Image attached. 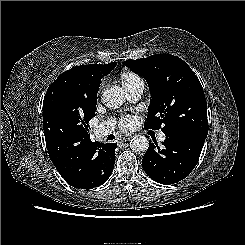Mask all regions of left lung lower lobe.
Segmentation results:
<instances>
[{"instance_id": "obj_1", "label": "left lung lower lobe", "mask_w": 245, "mask_h": 245, "mask_svg": "<svg viewBox=\"0 0 245 245\" xmlns=\"http://www.w3.org/2000/svg\"><path fill=\"white\" fill-rule=\"evenodd\" d=\"M206 136L199 132L166 136L163 148L150 143L142 160L144 171L160 184L181 181L196 166Z\"/></svg>"}]
</instances>
